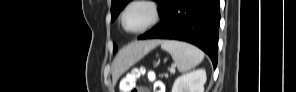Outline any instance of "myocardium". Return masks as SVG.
I'll return each instance as SVG.
<instances>
[{
  "instance_id": "obj_1",
  "label": "myocardium",
  "mask_w": 296,
  "mask_h": 92,
  "mask_svg": "<svg viewBox=\"0 0 296 92\" xmlns=\"http://www.w3.org/2000/svg\"><path fill=\"white\" fill-rule=\"evenodd\" d=\"M134 5H144L148 7L151 12V19L144 27L137 30H129L125 25V16L127 11ZM159 19H160V11L156 3L148 0H135L130 2L123 10L121 14V25L124 31L129 34H141L148 31L152 27H154L158 23Z\"/></svg>"
}]
</instances>
